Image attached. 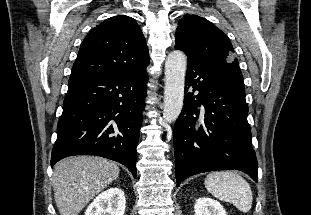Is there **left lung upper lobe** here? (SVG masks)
I'll return each instance as SVG.
<instances>
[{"label":"left lung upper lobe","instance_id":"obj_1","mask_svg":"<svg viewBox=\"0 0 311 215\" xmlns=\"http://www.w3.org/2000/svg\"><path fill=\"white\" fill-rule=\"evenodd\" d=\"M175 48L185 52L208 68L226 83L244 90V79L233 46L219 28L196 15L179 20L175 34Z\"/></svg>","mask_w":311,"mask_h":215}]
</instances>
